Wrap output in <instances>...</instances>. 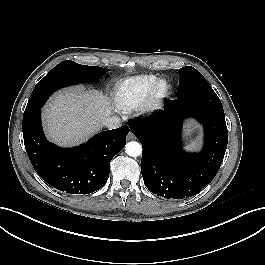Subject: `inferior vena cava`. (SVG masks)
Segmentation results:
<instances>
[{"instance_id":"obj_1","label":"inferior vena cava","mask_w":265,"mask_h":265,"mask_svg":"<svg viewBox=\"0 0 265 265\" xmlns=\"http://www.w3.org/2000/svg\"><path fill=\"white\" fill-rule=\"evenodd\" d=\"M121 125V120L118 116H111L107 118L104 122V126L107 127L108 129H116L120 127Z\"/></svg>"}]
</instances>
